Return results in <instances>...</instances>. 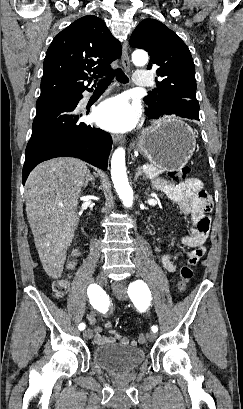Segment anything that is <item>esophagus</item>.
Masks as SVG:
<instances>
[{
  "label": "esophagus",
  "mask_w": 243,
  "mask_h": 409,
  "mask_svg": "<svg viewBox=\"0 0 243 409\" xmlns=\"http://www.w3.org/2000/svg\"><path fill=\"white\" fill-rule=\"evenodd\" d=\"M121 63L123 68L128 71L130 69V58L128 54V42L125 41L122 46V58ZM112 139L114 142H123L125 138L119 134H113Z\"/></svg>",
  "instance_id": "34e87169"
}]
</instances>
